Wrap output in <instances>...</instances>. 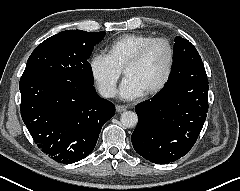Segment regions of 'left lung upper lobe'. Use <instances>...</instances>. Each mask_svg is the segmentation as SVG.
<instances>
[{"instance_id": "left-lung-upper-lobe-1", "label": "left lung upper lobe", "mask_w": 240, "mask_h": 191, "mask_svg": "<svg viewBox=\"0 0 240 191\" xmlns=\"http://www.w3.org/2000/svg\"><path fill=\"white\" fill-rule=\"evenodd\" d=\"M183 65H192L204 68L202 59L195 47L180 36L175 38L174 44V68Z\"/></svg>"}]
</instances>
